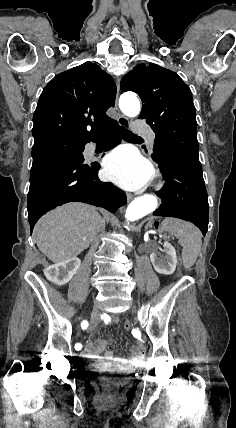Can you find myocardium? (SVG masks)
Listing matches in <instances>:
<instances>
[{
	"label": "myocardium",
	"instance_id": "1",
	"mask_svg": "<svg viewBox=\"0 0 236 428\" xmlns=\"http://www.w3.org/2000/svg\"><path fill=\"white\" fill-rule=\"evenodd\" d=\"M156 178L157 179H156L155 185H154L155 190L157 192H161V191L165 190L167 187L166 181L162 178V176L159 173L156 174Z\"/></svg>",
	"mask_w": 236,
	"mask_h": 428
}]
</instances>
